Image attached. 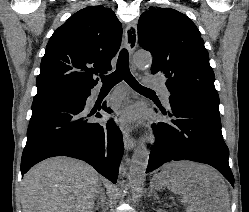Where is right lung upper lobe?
<instances>
[{
	"label": "right lung upper lobe",
	"mask_w": 249,
	"mask_h": 212,
	"mask_svg": "<svg viewBox=\"0 0 249 212\" xmlns=\"http://www.w3.org/2000/svg\"><path fill=\"white\" fill-rule=\"evenodd\" d=\"M121 37L122 25L109 8L89 6L73 14L49 39L35 97L91 90L98 82L93 73L112 69Z\"/></svg>",
	"instance_id": "cb5924a9"
}]
</instances>
